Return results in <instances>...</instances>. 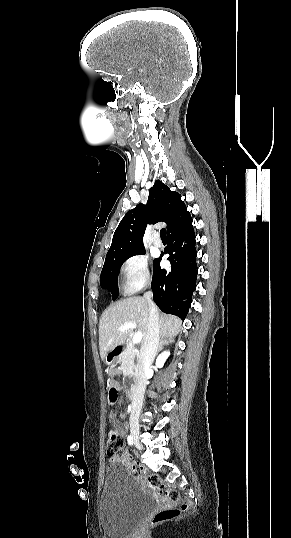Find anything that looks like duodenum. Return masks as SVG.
I'll return each instance as SVG.
<instances>
[{"label": "duodenum", "mask_w": 291, "mask_h": 538, "mask_svg": "<svg viewBox=\"0 0 291 538\" xmlns=\"http://www.w3.org/2000/svg\"><path fill=\"white\" fill-rule=\"evenodd\" d=\"M125 351V347H122V346H119V347H116L111 353L110 355L113 356V357H119L121 356ZM124 386L126 388L125 390V395L127 397H135L137 395V386H138V383L137 381H135V378L133 377V374L131 372H127L125 373V378H124Z\"/></svg>", "instance_id": "duodenum-1"}]
</instances>
